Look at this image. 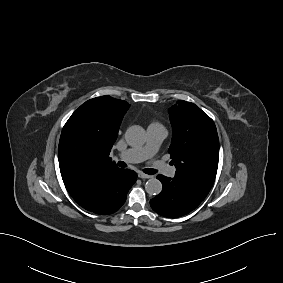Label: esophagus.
<instances>
[{
    "label": "esophagus",
    "instance_id": "esophagus-1",
    "mask_svg": "<svg viewBox=\"0 0 283 283\" xmlns=\"http://www.w3.org/2000/svg\"><path fill=\"white\" fill-rule=\"evenodd\" d=\"M138 177H139V178H142V179L152 178L151 175H148V174H145V173H142V172H139V173H138Z\"/></svg>",
    "mask_w": 283,
    "mask_h": 283
}]
</instances>
